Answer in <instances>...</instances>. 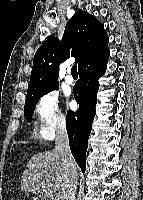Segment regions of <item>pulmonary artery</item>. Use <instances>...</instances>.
<instances>
[{
    "mask_svg": "<svg viewBox=\"0 0 143 200\" xmlns=\"http://www.w3.org/2000/svg\"><path fill=\"white\" fill-rule=\"evenodd\" d=\"M64 81L68 85H71L74 82L73 77L70 75V71L69 70L67 71V74H66V76L64 78Z\"/></svg>",
    "mask_w": 143,
    "mask_h": 200,
    "instance_id": "e3ab8cb5",
    "label": "pulmonary artery"
}]
</instances>
